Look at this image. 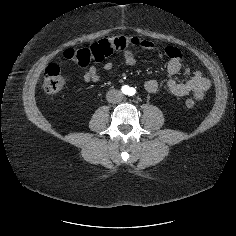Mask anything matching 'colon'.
I'll use <instances>...</instances> for the list:
<instances>
[{"label": "colon", "instance_id": "1", "mask_svg": "<svg viewBox=\"0 0 236 236\" xmlns=\"http://www.w3.org/2000/svg\"><path fill=\"white\" fill-rule=\"evenodd\" d=\"M138 44L137 38L126 36H112L99 40L89 47L68 48L63 51L62 57L69 62L76 63L82 67L88 66L90 62H101L115 51L125 50L130 46ZM65 85V77L61 68L56 64L49 65L44 73L43 87L46 93L55 94L62 90ZM186 106L191 108L194 102L186 101Z\"/></svg>", "mask_w": 236, "mask_h": 236}]
</instances>
